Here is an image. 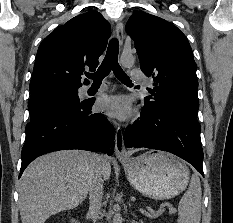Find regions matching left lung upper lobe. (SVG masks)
<instances>
[{
  "mask_svg": "<svg viewBox=\"0 0 233 223\" xmlns=\"http://www.w3.org/2000/svg\"><path fill=\"white\" fill-rule=\"evenodd\" d=\"M126 31L134 40L142 72L153 78L154 89L145 98L146 113L198 112V81L192 49L182 31L166 20L136 12Z\"/></svg>",
  "mask_w": 233,
  "mask_h": 223,
  "instance_id": "left-lung-upper-lobe-1",
  "label": "left lung upper lobe"
}]
</instances>
